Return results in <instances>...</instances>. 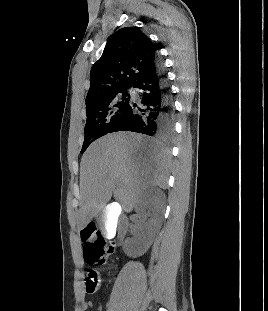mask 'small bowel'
<instances>
[{
	"label": "small bowel",
	"instance_id": "c3829d8e",
	"mask_svg": "<svg viewBox=\"0 0 268 311\" xmlns=\"http://www.w3.org/2000/svg\"><path fill=\"white\" fill-rule=\"evenodd\" d=\"M82 307H83V310H84V311H87V310H89L90 308H92V303L89 302V301H84L83 304H82Z\"/></svg>",
	"mask_w": 268,
	"mask_h": 311
}]
</instances>
